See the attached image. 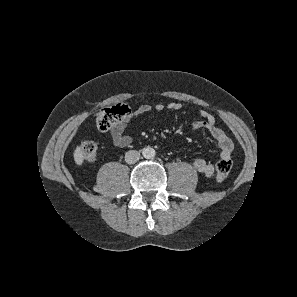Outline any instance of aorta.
<instances>
[{"label":"aorta","instance_id":"762f6f07","mask_svg":"<svg viewBox=\"0 0 297 297\" xmlns=\"http://www.w3.org/2000/svg\"><path fill=\"white\" fill-rule=\"evenodd\" d=\"M142 154L146 159H152L155 157V150L152 147H146L143 149Z\"/></svg>","mask_w":297,"mask_h":297}]
</instances>
